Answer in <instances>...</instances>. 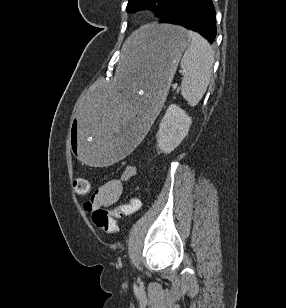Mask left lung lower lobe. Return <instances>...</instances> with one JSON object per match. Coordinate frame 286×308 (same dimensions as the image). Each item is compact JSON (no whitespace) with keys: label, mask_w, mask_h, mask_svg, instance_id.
<instances>
[{"label":"left lung lower lobe","mask_w":286,"mask_h":308,"mask_svg":"<svg viewBox=\"0 0 286 308\" xmlns=\"http://www.w3.org/2000/svg\"><path fill=\"white\" fill-rule=\"evenodd\" d=\"M159 22L178 24L196 31L210 43L216 37V14L212 0H171Z\"/></svg>","instance_id":"left-lung-lower-lobe-1"}]
</instances>
